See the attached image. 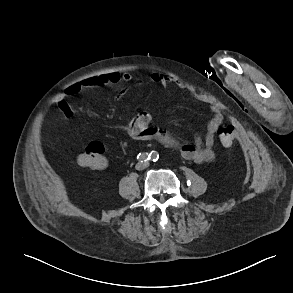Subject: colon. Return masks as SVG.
Returning <instances> with one entry per match:
<instances>
[{"label":"colon","instance_id":"obj_1","mask_svg":"<svg viewBox=\"0 0 293 293\" xmlns=\"http://www.w3.org/2000/svg\"><path fill=\"white\" fill-rule=\"evenodd\" d=\"M217 136L221 144L230 146L235 138V130L231 125L222 126L217 130ZM105 147L99 141H92L87 144L85 150L78 156V164L81 167L93 170H100L106 167L107 161L104 156Z\"/></svg>","mask_w":293,"mask_h":293}]
</instances>
